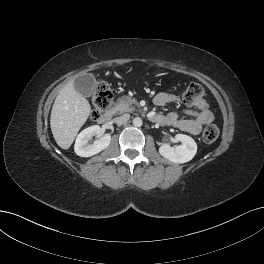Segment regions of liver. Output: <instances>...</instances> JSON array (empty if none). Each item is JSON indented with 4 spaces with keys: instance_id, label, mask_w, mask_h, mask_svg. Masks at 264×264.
<instances>
[{
    "instance_id": "1",
    "label": "liver",
    "mask_w": 264,
    "mask_h": 264,
    "mask_svg": "<svg viewBox=\"0 0 264 264\" xmlns=\"http://www.w3.org/2000/svg\"><path fill=\"white\" fill-rule=\"evenodd\" d=\"M90 113L89 102L76 91L74 81H69L57 95L50 117L51 131L59 147L70 148Z\"/></svg>"
}]
</instances>
